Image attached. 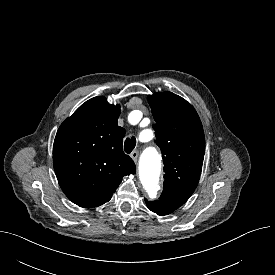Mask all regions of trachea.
Here are the masks:
<instances>
[{"mask_svg":"<svg viewBox=\"0 0 275 275\" xmlns=\"http://www.w3.org/2000/svg\"><path fill=\"white\" fill-rule=\"evenodd\" d=\"M136 145L135 137L127 138L124 142V150L126 153H131Z\"/></svg>","mask_w":275,"mask_h":275,"instance_id":"trachea-1","label":"trachea"}]
</instances>
